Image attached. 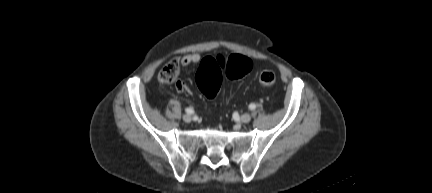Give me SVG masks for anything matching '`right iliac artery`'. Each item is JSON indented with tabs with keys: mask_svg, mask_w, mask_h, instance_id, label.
<instances>
[{
	"mask_svg": "<svg viewBox=\"0 0 432 193\" xmlns=\"http://www.w3.org/2000/svg\"><path fill=\"white\" fill-rule=\"evenodd\" d=\"M185 112H186L187 114L192 115V114L194 113V110H193L192 108H186V109H185Z\"/></svg>",
	"mask_w": 432,
	"mask_h": 193,
	"instance_id": "82829eb1",
	"label": "right iliac artery"
}]
</instances>
